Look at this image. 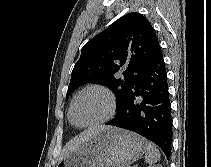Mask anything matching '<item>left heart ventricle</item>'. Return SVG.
Returning <instances> with one entry per match:
<instances>
[{"label":"left heart ventricle","instance_id":"b2bd125f","mask_svg":"<svg viewBox=\"0 0 211 167\" xmlns=\"http://www.w3.org/2000/svg\"><path fill=\"white\" fill-rule=\"evenodd\" d=\"M109 101L107 96L96 90L81 95L72 112L73 120L79 125H85L102 119L108 114Z\"/></svg>","mask_w":211,"mask_h":167}]
</instances>
